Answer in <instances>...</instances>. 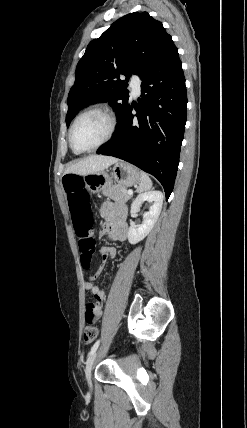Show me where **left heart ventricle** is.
Here are the masks:
<instances>
[{
	"instance_id": "left-heart-ventricle-1",
	"label": "left heart ventricle",
	"mask_w": 247,
	"mask_h": 428,
	"mask_svg": "<svg viewBox=\"0 0 247 428\" xmlns=\"http://www.w3.org/2000/svg\"><path fill=\"white\" fill-rule=\"evenodd\" d=\"M109 129L107 118L98 112L89 113L79 119L73 141L78 148H90L104 139Z\"/></svg>"
}]
</instances>
